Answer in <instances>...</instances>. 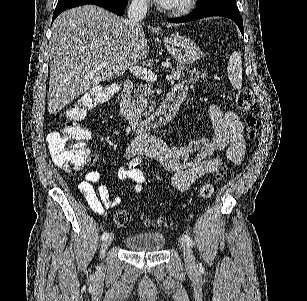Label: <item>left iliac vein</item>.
I'll list each match as a JSON object with an SVG mask.
<instances>
[{
  "mask_svg": "<svg viewBox=\"0 0 307 301\" xmlns=\"http://www.w3.org/2000/svg\"><path fill=\"white\" fill-rule=\"evenodd\" d=\"M179 242H180V246L183 251L185 265L190 270L194 269L196 267V263H195L194 254H193V251L190 245L182 238H180Z\"/></svg>",
  "mask_w": 307,
  "mask_h": 301,
  "instance_id": "4c4485c4",
  "label": "left iliac vein"
}]
</instances>
